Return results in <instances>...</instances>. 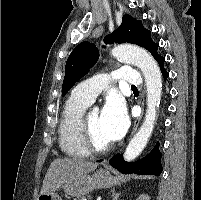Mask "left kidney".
<instances>
[{
    "instance_id": "obj_1",
    "label": "left kidney",
    "mask_w": 201,
    "mask_h": 200,
    "mask_svg": "<svg viewBox=\"0 0 201 200\" xmlns=\"http://www.w3.org/2000/svg\"><path fill=\"white\" fill-rule=\"evenodd\" d=\"M136 200H150L149 196L148 195H140Z\"/></svg>"
}]
</instances>
